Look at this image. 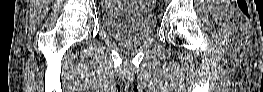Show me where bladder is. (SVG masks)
Segmentation results:
<instances>
[{
	"label": "bladder",
	"mask_w": 263,
	"mask_h": 92,
	"mask_svg": "<svg viewBox=\"0 0 263 92\" xmlns=\"http://www.w3.org/2000/svg\"><path fill=\"white\" fill-rule=\"evenodd\" d=\"M120 8L112 7L105 10L101 20L107 32L126 45H136L153 32L156 20L152 10L137 8L136 1H126Z\"/></svg>",
	"instance_id": "1"
}]
</instances>
